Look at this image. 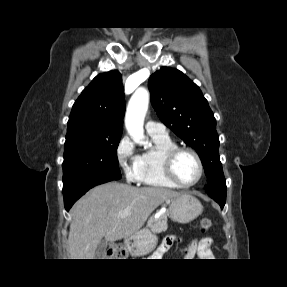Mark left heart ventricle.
<instances>
[{
  "instance_id": "left-heart-ventricle-1",
  "label": "left heart ventricle",
  "mask_w": 287,
  "mask_h": 287,
  "mask_svg": "<svg viewBox=\"0 0 287 287\" xmlns=\"http://www.w3.org/2000/svg\"><path fill=\"white\" fill-rule=\"evenodd\" d=\"M177 178L184 184L194 182L199 175V166L196 159L189 153H180L174 164Z\"/></svg>"
}]
</instances>
